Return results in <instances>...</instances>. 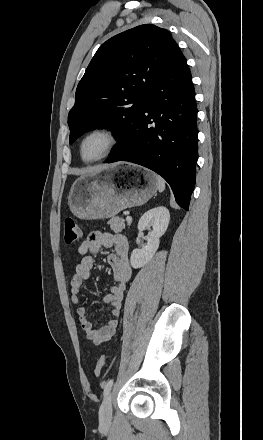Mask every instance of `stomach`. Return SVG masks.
Instances as JSON below:
<instances>
[{"instance_id":"1","label":"stomach","mask_w":263,"mask_h":440,"mask_svg":"<svg viewBox=\"0 0 263 440\" xmlns=\"http://www.w3.org/2000/svg\"><path fill=\"white\" fill-rule=\"evenodd\" d=\"M157 192L156 174L135 165L105 166L77 178L68 205L81 219H108L145 204Z\"/></svg>"}]
</instances>
